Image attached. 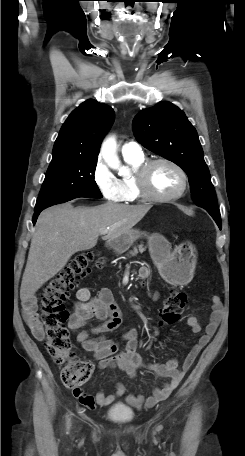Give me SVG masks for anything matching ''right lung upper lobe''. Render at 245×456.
<instances>
[{
    "label": "right lung upper lobe",
    "instance_id": "1",
    "mask_svg": "<svg viewBox=\"0 0 245 456\" xmlns=\"http://www.w3.org/2000/svg\"><path fill=\"white\" fill-rule=\"evenodd\" d=\"M114 111L106 104L89 99L64 122L55 141L52 161L78 157H98L102 138L110 129Z\"/></svg>",
    "mask_w": 245,
    "mask_h": 456
}]
</instances>
